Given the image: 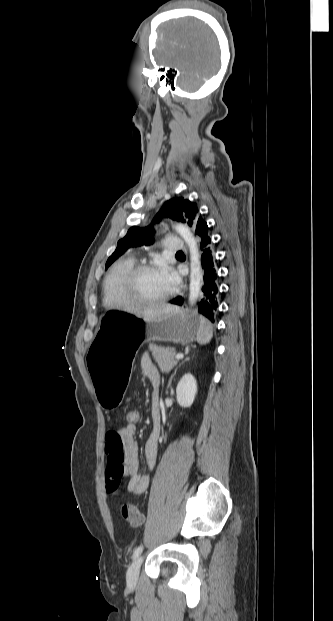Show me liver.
I'll list each match as a JSON object with an SVG mask.
<instances>
[{
    "instance_id": "6515ba94",
    "label": "liver",
    "mask_w": 333,
    "mask_h": 621,
    "mask_svg": "<svg viewBox=\"0 0 333 621\" xmlns=\"http://www.w3.org/2000/svg\"><path fill=\"white\" fill-rule=\"evenodd\" d=\"M176 308V306H173L171 304H156L142 311L134 312V315L139 318H143L146 321H149L164 316L174 311Z\"/></svg>"
}]
</instances>
